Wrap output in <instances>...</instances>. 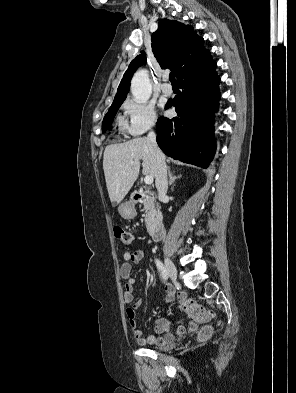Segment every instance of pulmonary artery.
<instances>
[{
	"instance_id": "e3ab8cb5",
	"label": "pulmonary artery",
	"mask_w": 296,
	"mask_h": 393,
	"mask_svg": "<svg viewBox=\"0 0 296 393\" xmlns=\"http://www.w3.org/2000/svg\"><path fill=\"white\" fill-rule=\"evenodd\" d=\"M161 90L164 95H171L173 92L172 86L169 84V76L168 75H165L163 78Z\"/></svg>"
}]
</instances>
